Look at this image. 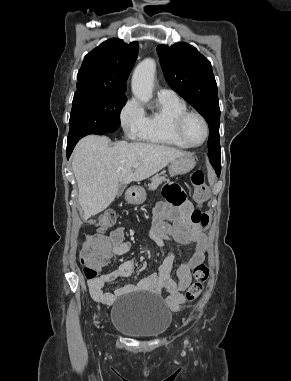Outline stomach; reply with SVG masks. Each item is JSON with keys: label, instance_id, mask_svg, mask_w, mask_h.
Masks as SVG:
<instances>
[{"label": "stomach", "instance_id": "1", "mask_svg": "<svg viewBox=\"0 0 291 381\" xmlns=\"http://www.w3.org/2000/svg\"><path fill=\"white\" fill-rule=\"evenodd\" d=\"M195 166V160L188 154L182 155L172 161L169 165L170 175H182L192 170ZM146 200V193L144 190L136 188L134 194L129 198L132 204H141Z\"/></svg>", "mask_w": 291, "mask_h": 381}]
</instances>
